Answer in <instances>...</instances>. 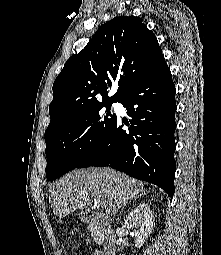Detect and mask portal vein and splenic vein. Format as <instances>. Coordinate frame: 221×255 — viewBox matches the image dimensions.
Wrapping results in <instances>:
<instances>
[{"label":"portal vein and splenic vein","mask_w":221,"mask_h":255,"mask_svg":"<svg viewBox=\"0 0 221 255\" xmlns=\"http://www.w3.org/2000/svg\"><path fill=\"white\" fill-rule=\"evenodd\" d=\"M98 206L103 208V204L100 201H98Z\"/></svg>","instance_id":"obj_1"}]
</instances>
